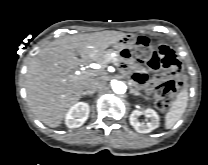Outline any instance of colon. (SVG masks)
Masks as SVG:
<instances>
[{
  "mask_svg": "<svg viewBox=\"0 0 208 165\" xmlns=\"http://www.w3.org/2000/svg\"><path fill=\"white\" fill-rule=\"evenodd\" d=\"M134 58L151 68L158 69L163 67L167 69L171 77L168 79L156 80L155 106L160 111H166L171 106L176 91L184 85L183 81L176 78L182 69L181 62L171 48L162 45L154 49L146 37H138L134 48Z\"/></svg>",
  "mask_w": 208,
  "mask_h": 165,
  "instance_id": "5ec220e1",
  "label": "colon"
}]
</instances>
